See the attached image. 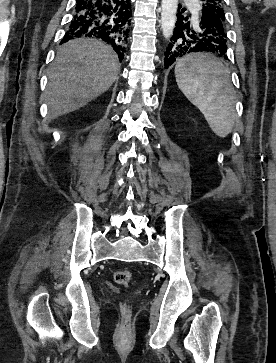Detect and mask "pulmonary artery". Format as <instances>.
I'll return each instance as SVG.
<instances>
[{
    "label": "pulmonary artery",
    "instance_id": "pulmonary-artery-1",
    "mask_svg": "<svg viewBox=\"0 0 276 363\" xmlns=\"http://www.w3.org/2000/svg\"><path fill=\"white\" fill-rule=\"evenodd\" d=\"M189 3L193 4L194 6H197V1L196 0H188ZM195 13L197 12V10L194 11Z\"/></svg>",
    "mask_w": 276,
    "mask_h": 363
}]
</instances>
